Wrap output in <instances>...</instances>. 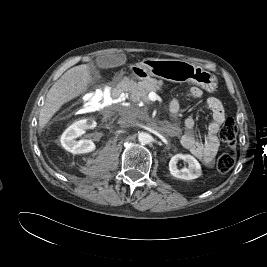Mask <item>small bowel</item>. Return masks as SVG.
<instances>
[{
	"label": "small bowel",
	"instance_id": "c3829d8e",
	"mask_svg": "<svg viewBox=\"0 0 267 267\" xmlns=\"http://www.w3.org/2000/svg\"><path fill=\"white\" fill-rule=\"evenodd\" d=\"M201 96L202 91L197 87L190 88L186 93V97L190 100ZM206 106L212 115V121L208 126L207 134L198 138L195 131V121L192 117H188L184 122L185 133L181 138V143L197 159L210 166L219 149L218 133L221 124L225 120V111L221 101L216 97L208 98ZM181 107L182 102L179 98L173 99L170 103V111L174 114L179 112Z\"/></svg>",
	"mask_w": 267,
	"mask_h": 267
}]
</instances>
